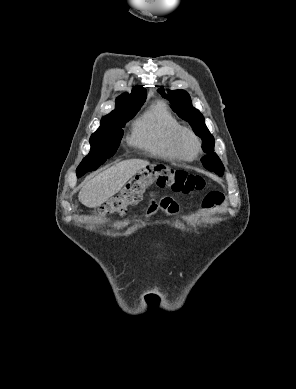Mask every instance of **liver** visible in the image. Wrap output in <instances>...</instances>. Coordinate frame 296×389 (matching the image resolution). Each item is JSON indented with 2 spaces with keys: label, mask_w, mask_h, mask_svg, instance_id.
Returning <instances> with one entry per match:
<instances>
[{
  "label": "liver",
  "mask_w": 296,
  "mask_h": 389,
  "mask_svg": "<svg viewBox=\"0 0 296 389\" xmlns=\"http://www.w3.org/2000/svg\"><path fill=\"white\" fill-rule=\"evenodd\" d=\"M148 164L145 160L130 159L109 167L86 182L79 192V201L89 208L102 205Z\"/></svg>",
  "instance_id": "6515ba94"
}]
</instances>
